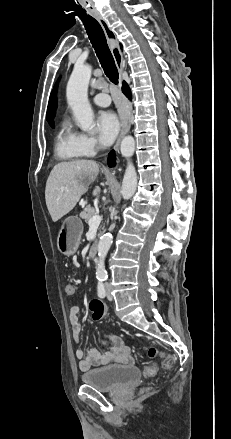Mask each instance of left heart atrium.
Here are the masks:
<instances>
[{"label":"left heart atrium","mask_w":231,"mask_h":439,"mask_svg":"<svg viewBox=\"0 0 231 439\" xmlns=\"http://www.w3.org/2000/svg\"><path fill=\"white\" fill-rule=\"evenodd\" d=\"M96 125L101 142L105 146L112 144L120 129L118 117L112 112H103L98 116Z\"/></svg>","instance_id":"1"}]
</instances>
